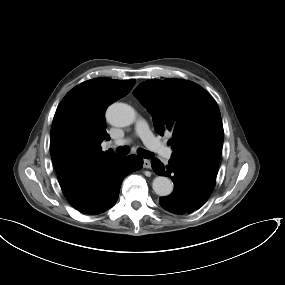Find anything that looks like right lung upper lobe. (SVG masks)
I'll return each instance as SVG.
<instances>
[{"label": "right lung upper lobe", "mask_w": 285, "mask_h": 285, "mask_svg": "<svg viewBox=\"0 0 285 285\" xmlns=\"http://www.w3.org/2000/svg\"><path fill=\"white\" fill-rule=\"evenodd\" d=\"M135 80L97 78L85 81L60 102L52 123L50 154L68 201L74 199L99 173L122 158L102 151L110 140L105 110L126 96Z\"/></svg>", "instance_id": "right-lung-upper-lobe-1"}]
</instances>
